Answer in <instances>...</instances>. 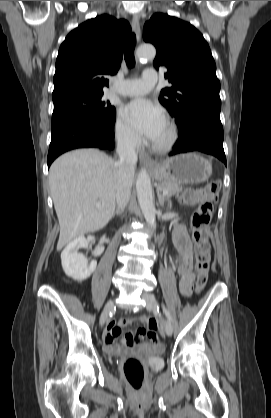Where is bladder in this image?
<instances>
[{
    "mask_svg": "<svg viewBox=\"0 0 271 418\" xmlns=\"http://www.w3.org/2000/svg\"><path fill=\"white\" fill-rule=\"evenodd\" d=\"M161 350L153 352L149 358V365L152 370H159L163 367V359L161 357Z\"/></svg>",
    "mask_w": 271,
    "mask_h": 418,
    "instance_id": "1",
    "label": "bladder"
}]
</instances>
